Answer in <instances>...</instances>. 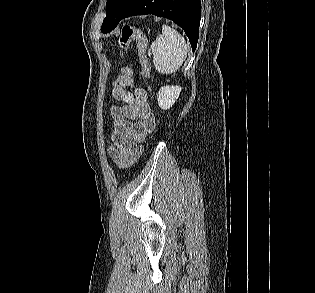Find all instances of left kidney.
Listing matches in <instances>:
<instances>
[{
	"instance_id": "obj_1",
	"label": "left kidney",
	"mask_w": 315,
	"mask_h": 293,
	"mask_svg": "<svg viewBox=\"0 0 315 293\" xmlns=\"http://www.w3.org/2000/svg\"><path fill=\"white\" fill-rule=\"evenodd\" d=\"M181 92L179 86H164L161 87L157 94L159 107L163 110L170 109L178 99Z\"/></svg>"
}]
</instances>
